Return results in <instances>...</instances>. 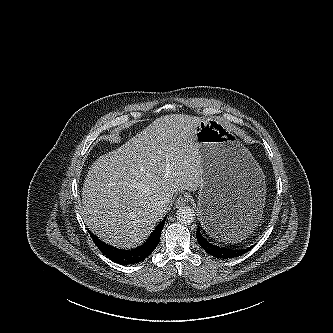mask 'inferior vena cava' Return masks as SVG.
<instances>
[{"label":"inferior vena cava","mask_w":333,"mask_h":333,"mask_svg":"<svg viewBox=\"0 0 333 333\" xmlns=\"http://www.w3.org/2000/svg\"><path fill=\"white\" fill-rule=\"evenodd\" d=\"M159 207H160V209L162 210V211H166V209H167V202L166 201H161L160 203H159Z\"/></svg>","instance_id":"inferior-vena-cava-1"}]
</instances>
